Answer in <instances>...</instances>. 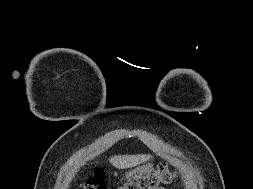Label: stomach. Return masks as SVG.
I'll list each match as a JSON object with an SVG mask.
<instances>
[{
    "instance_id": "stomach-1",
    "label": "stomach",
    "mask_w": 253,
    "mask_h": 189,
    "mask_svg": "<svg viewBox=\"0 0 253 189\" xmlns=\"http://www.w3.org/2000/svg\"><path fill=\"white\" fill-rule=\"evenodd\" d=\"M151 169V164L139 166L133 170L125 173L127 180L132 181L140 178L143 174L147 173Z\"/></svg>"
}]
</instances>
